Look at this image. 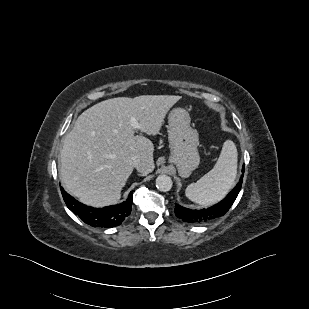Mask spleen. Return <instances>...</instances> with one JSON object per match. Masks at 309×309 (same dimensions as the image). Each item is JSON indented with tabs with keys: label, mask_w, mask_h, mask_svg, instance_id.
Returning a JSON list of instances; mask_svg holds the SVG:
<instances>
[{
	"label": "spleen",
	"mask_w": 309,
	"mask_h": 309,
	"mask_svg": "<svg viewBox=\"0 0 309 309\" xmlns=\"http://www.w3.org/2000/svg\"><path fill=\"white\" fill-rule=\"evenodd\" d=\"M237 174V149L226 140L213 169L186 188V196L193 202L209 206L220 201L229 192Z\"/></svg>",
	"instance_id": "obj_1"
}]
</instances>
